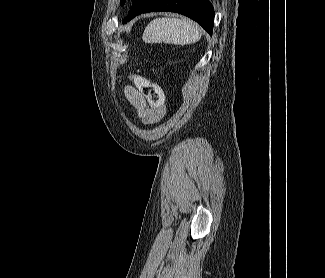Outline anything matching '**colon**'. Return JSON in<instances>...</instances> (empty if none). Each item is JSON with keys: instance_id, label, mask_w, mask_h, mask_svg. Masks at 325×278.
Instances as JSON below:
<instances>
[{"instance_id": "5ec220e1", "label": "colon", "mask_w": 325, "mask_h": 278, "mask_svg": "<svg viewBox=\"0 0 325 278\" xmlns=\"http://www.w3.org/2000/svg\"><path fill=\"white\" fill-rule=\"evenodd\" d=\"M133 79L141 93L152 107L164 109V94L159 85L138 75L134 76Z\"/></svg>"}]
</instances>
